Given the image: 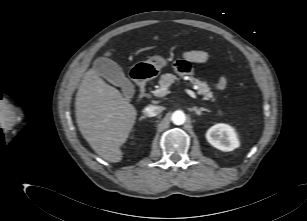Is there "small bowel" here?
<instances>
[{
    "mask_svg": "<svg viewBox=\"0 0 307 221\" xmlns=\"http://www.w3.org/2000/svg\"><path fill=\"white\" fill-rule=\"evenodd\" d=\"M185 60L179 61L177 69L179 71L189 70V62L192 63H206L209 60V54L205 50H192L185 53ZM227 85V78L221 76L215 84L217 90H224Z\"/></svg>",
    "mask_w": 307,
    "mask_h": 221,
    "instance_id": "c3829d8e",
    "label": "small bowel"
}]
</instances>
